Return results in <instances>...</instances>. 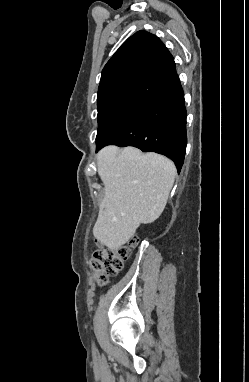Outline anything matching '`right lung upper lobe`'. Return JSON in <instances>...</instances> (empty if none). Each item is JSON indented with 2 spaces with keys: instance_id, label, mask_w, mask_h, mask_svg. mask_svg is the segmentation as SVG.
Here are the masks:
<instances>
[{
  "instance_id": "1",
  "label": "right lung upper lobe",
  "mask_w": 249,
  "mask_h": 382,
  "mask_svg": "<svg viewBox=\"0 0 249 382\" xmlns=\"http://www.w3.org/2000/svg\"><path fill=\"white\" fill-rule=\"evenodd\" d=\"M178 80L174 59L166 46L157 36L138 31L105 65L98 108L126 98L152 101Z\"/></svg>"
}]
</instances>
